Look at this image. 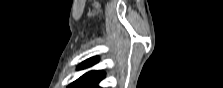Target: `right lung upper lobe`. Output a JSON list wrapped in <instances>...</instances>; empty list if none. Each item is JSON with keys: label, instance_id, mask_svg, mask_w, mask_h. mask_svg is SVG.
<instances>
[{"label": "right lung upper lobe", "instance_id": "cb5924a9", "mask_svg": "<svg viewBox=\"0 0 223 88\" xmlns=\"http://www.w3.org/2000/svg\"><path fill=\"white\" fill-rule=\"evenodd\" d=\"M98 57L90 58L86 61H84L82 64H80L79 68H86L98 61ZM105 74L103 72L99 71H90L83 76H81L79 79L74 81L69 88H98L97 84L98 82L103 79Z\"/></svg>", "mask_w": 223, "mask_h": 88}]
</instances>
